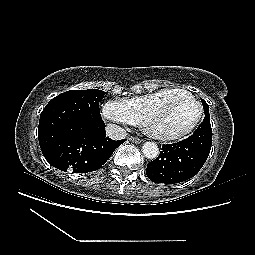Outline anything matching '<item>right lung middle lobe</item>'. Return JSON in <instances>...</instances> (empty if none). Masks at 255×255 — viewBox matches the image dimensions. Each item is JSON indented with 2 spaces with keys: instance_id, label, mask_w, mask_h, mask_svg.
<instances>
[{
  "instance_id": "right-lung-middle-lobe-1",
  "label": "right lung middle lobe",
  "mask_w": 255,
  "mask_h": 255,
  "mask_svg": "<svg viewBox=\"0 0 255 255\" xmlns=\"http://www.w3.org/2000/svg\"><path fill=\"white\" fill-rule=\"evenodd\" d=\"M98 89L70 90L49 101L40 115L38 139L42 152L71 129L94 127L102 122Z\"/></svg>"
}]
</instances>
